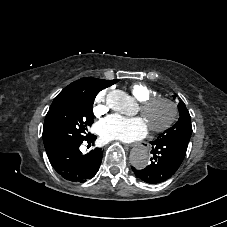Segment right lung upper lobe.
I'll return each instance as SVG.
<instances>
[{
  "label": "right lung upper lobe",
  "mask_w": 227,
  "mask_h": 227,
  "mask_svg": "<svg viewBox=\"0 0 227 227\" xmlns=\"http://www.w3.org/2000/svg\"><path fill=\"white\" fill-rule=\"evenodd\" d=\"M86 78H87V77H86ZM86 78H82V79H80V80H77V81L71 83L70 85H68V86H67L66 88H64V89L66 90V89L72 88V87L76 86L77 84L81 83L82 81H84ZM102 80H103V79H102ZM104 81H105V85H107V86L109 87V86L115 84L118 80H110V81L104 80Z\"/></svg>",
  "instance_id": "right-lung-upper-lobe-1"
}]
</instances>
